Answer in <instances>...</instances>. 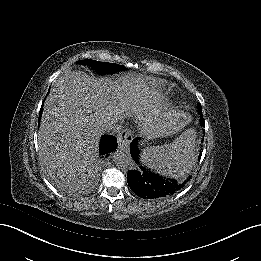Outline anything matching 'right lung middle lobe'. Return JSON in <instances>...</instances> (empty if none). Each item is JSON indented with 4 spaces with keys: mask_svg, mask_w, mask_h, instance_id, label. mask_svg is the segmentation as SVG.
<instances>
[{
    "mask_svg": "<svg viewBox=\"0 0 261 261\" xmlns=\"http://www.w3.org/2000/svg\"><path fill=\"white\" fill-rule=\"evenodd\" d=\"M87 61L90 65H92L94 68H96L99 72H102V73L113 71V70L125 69V67H123L121 65L114 64V63H104V62H99V61H95V60H91V59H89ZM101 162H102V157L97 156L95 162L92 163V165L89 168L88 172H89L90 175H92V174H94L98 171V169L101 165Z\"/></svg>",
    "mask_w": 261,
    "mask_h": 261,
    "instance_id": "right-lung-middle-lobe-1",
    "label": "right lung middle lobe"
}]
</instances>
